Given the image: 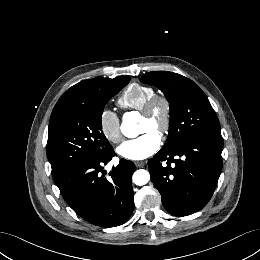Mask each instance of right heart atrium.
I'll return each instance as SVG.
<instances>
[{
    "label": "right heart atrium",
    "mask_w": 260,
    "mask_h": 260,
    "mask_svg": "<svg viewBox=\"0 0 260 260\" xmlns=\"http://www.w3.org/2000/svg\"><path fill=\"white\" fill-rule=\"evenodd\" d=\"M99 128L102 135L111 143L118 144L122 140L119 116L109 107H104L99 114Z\"/></svg>",
    "instance_id": "right-heart-atrium-1"
}]
</instances>
